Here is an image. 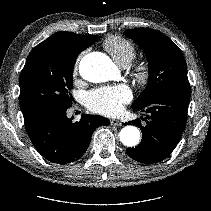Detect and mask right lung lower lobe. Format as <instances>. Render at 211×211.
<instances>
[{
    "mask_svg": "<svg viewBox=\"0 0 211 211\" xmlns=\"http://www.w3.org/2000/svg\"><path fill=\"white\" fill-rule=\"evenodd\" d=\"M69 107H46L24 117L25 129L37 151L48 161L67 164L78 160L87 150L91 136L107 118L84 114L79 122L67 118Z\"/></svg>",
    "mask_w": 211,
    "mask_h": 211,
    "instance_id": "1",
    "label": "right lung lower lobe"
}]
</instances>
